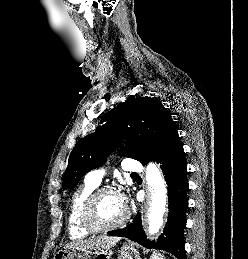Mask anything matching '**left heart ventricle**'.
I'll list each match as a JSON object with an SVG mask.
<instances>
[{
	"mask_svg": "<svg viewBox=\"0 0 248 259\" xmlns=\"http://www.w3.org/2000/svg\"><path fill=\"white\" fill-rule=\"evenodd\" d=\"M125 214V206L119 195L107 192L100 196L96 205V216L99 222L110 224L120 220Z\"/></svg>",
	"mask_w": 248,
	"mask_h": 259,
	"instance_id": "left-heart-ventricle-1",
	"label": "left heart ventricle"
}]
</instances>
